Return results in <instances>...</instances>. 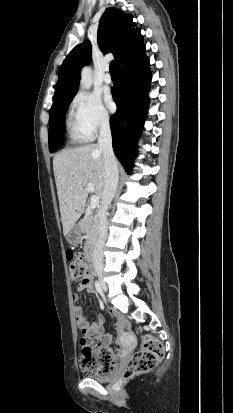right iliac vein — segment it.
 <instances>
[{"label": "right iliac vein", "mask_w": 233, "mask_h": 413, "mask_svg": "<svg viewBox=\"0 0 233 413\" xmlns=\"http://www.w3.org/2000/svg\"><path fill=\"white\" fill-rule=\"evenodd\" d=\"M102 287H103L104 290H106V285H105L104 282H102Z\"/></svg>", "instance_id": "right-iliac-vein-1"}]
</instances>
